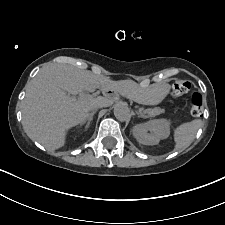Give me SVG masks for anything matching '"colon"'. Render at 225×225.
I'll return each instance as SVG.
<instances>
[{"label": "colon", "mask_w": 225, "mask_h": 225, "mask_svg": "<svg viewBox=\"0 0 225 225\" xmlns=\"http://www.w3.org/2000/svg\"><path fill=\"white\" fill-rule=\"evenodd\" d=\"M190 89V83L187 81H176L172 85V94L175 97L182 96ZM187 108L192 115H199L203 108V99L201 94L193 93L187 100Z\"/></svg>", "instance_id": "obj_1"}]
</instances>
